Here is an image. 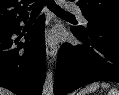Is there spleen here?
<instances>
[{"label": "spleen", "mask_w": 119, "mask_h": 95, "mask_svg": "<svg viewBox=\"0 0 119 95\" xmlns=\"http://www.w3.org/2000/svg\"><path fill=\"white\" fill-rule=\"evenodd\" d=\"M99 87H100L99 83H97V82L96 83H92V84L86 86L84 89H82L78 93V95H86V94H89L91 92H95ZM101 87L104 88V89L105 88L107 89V88L110 87V85L108 83H102ZM109 95H119V91L117 89L113 88V89H111L109 91Z\"/></svg>", "instance_id": "spleen-1"}]
</instances>
